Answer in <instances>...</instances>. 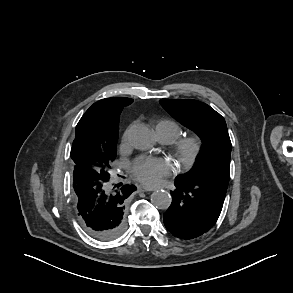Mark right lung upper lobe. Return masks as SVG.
I'll return each instance as SVG.
<instances>
[{
	"mask_svg": "<svg viewBox=\"0 0 293 293\" xmlns=\"http://www.w3.org/2000/svg\"><path fill=\"white\" fill-rule=\"evenodd\" d=\"M133 102L125 97H112L94 103L82 116L76 126V141L85 143L84 149L72 148L71 158L75 166L97 168L92 157L95 149L103 150L116 145L119 116L123 107ZM74 166V167H75Z\"/></svg>",
	"mask_w": 293,
	"mask_h": 293,
	"instance_id": "obj_1",
	"label": "right lung upper lobe"
}]
</instances>
